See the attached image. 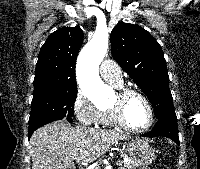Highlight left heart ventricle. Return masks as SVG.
<instances>
[{
  "label": "left heart ventricle",
  "mask_w": 200,
  "mask_h": 169,
  "mask_svg": "<svg viewBox=\"0 0 200 169\" xmlns=\"http://www.w3.org/2000/svg\"><path fill=\"white\" fill-rule=\"evenodd\" d=\"M116 100L114 96L112 103ZM124 112L127 123L133 128L144 127L149 121V111L145 102L136 95H131L125 100Z\"/></svg>",
  "instance_id": "left-heart-ventricle-1"
}]
</instances>
